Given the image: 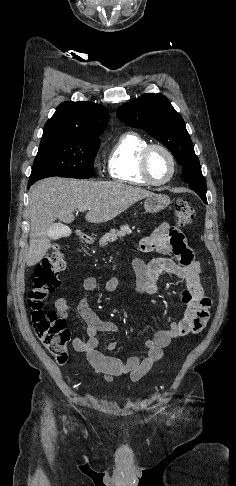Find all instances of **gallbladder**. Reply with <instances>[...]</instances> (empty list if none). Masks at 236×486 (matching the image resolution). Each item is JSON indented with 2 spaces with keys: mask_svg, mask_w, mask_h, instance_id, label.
Instances as JSON below:
<instances>
[{
  "mask_svg": "<svg viewBox=\"0 0 236 486\" xmlns=\"http://www.w3.org/2000/svg\"><path fill=\"white\" fill-rule=\"evenodd\" d=\"M66 229L64 225L61 223H55L53 224L51 231L53 233V239H59L60 237L63 236V232Z\"/></svg>",
  "mask_w": 236,
  "mask_h": 486,
  "instance_id": "obj_1",
  "label": "gallbladder"
}]
</instances>
